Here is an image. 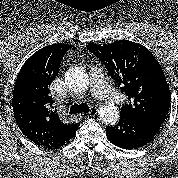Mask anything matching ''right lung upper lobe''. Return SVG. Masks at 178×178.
Instances as JSON below:
<instances>
[{"mask_svg": "<svg viewBox=\"0 0 178 178\" xmlns=\"http://www.w3.org/2000/svg\"><path fill=\"white\" fill-rule=\"evenodd\" d=\"M71 47L59 43L35 52L22 66L14 86L12 104L17 125L32 142L48 149L61 146L80 125L59 117L49 90Z\"/></svg>", "mask_w": 178, "mask_h": 178, "instance_id": "obj_1", "label": "right lung upper lobe"}]
</instances>
